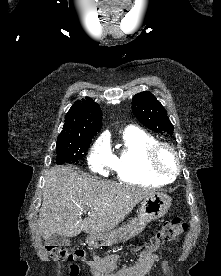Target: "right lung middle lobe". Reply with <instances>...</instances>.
<instances>
[{"instance_id": "dd1d6c3e", "label": "right lung middle lobe", "mask_w": 221, "mask_h": 276, "mask_svg": "<svg viewBox=\"0 0 221 276\" xmlns=\"http://www.w3.org/2000/svg\"><path fill=\"white\" fill-rule=\"evenodd\" d=\"M92 139H73L57 141L56 144V163H78L87 152Z\"/></svg>"}]
</instances>
